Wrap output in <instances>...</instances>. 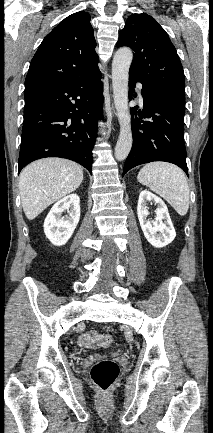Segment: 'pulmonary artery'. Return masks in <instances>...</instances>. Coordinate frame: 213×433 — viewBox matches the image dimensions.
Returning <instances> with one entry per match:
<instances>
[{"instance_id":"obj_1","label":"pulmonary artery","mask_w":213,"mask_h":433,"mask_svg":"<svg viewBox=\"0 0 213 433\" xmlns=\"http://www.w3.org/2000/svg\"><path fill=\"white\" fill-rule=\"evenodd\" d=\"M137 88H138V91H139V98H140V100H142V95H141V92H140V89H141L140 85H138Z\"/></svg>"}]
</instances>
